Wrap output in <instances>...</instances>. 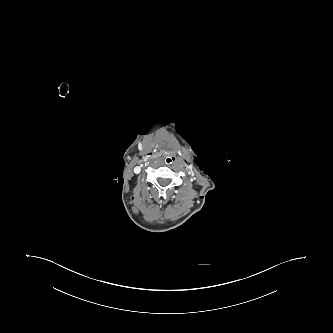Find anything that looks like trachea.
<instances>
[{"label":"trachea","mask_w":333,"mask_h":333,"mask_svg":"<svg viewBox=\"0 0 333 333\" xmlns=\"http://www.w3.org/2000/svg\"><path fill=\"white\" fill-rule=\"evenodd\" d=\"M162 163H163L166 167H171V166L175 163V158H174L171 154H166V155L162 158Z\"/></svg>","instance_id":"1"}]
</instances>
